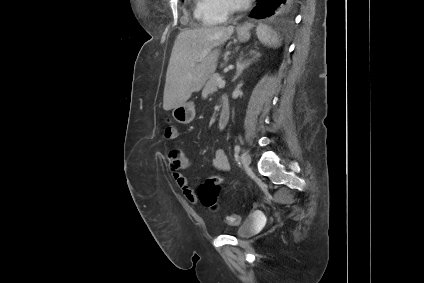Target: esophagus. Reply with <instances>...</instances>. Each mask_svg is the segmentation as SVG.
Listing matches in <instances>:
<instances>
[{
    "mask_svg": "<svg viewBox=\"0 0 424 283\" xmlns=\"http://www.w3.org/2000/svg\"><path fill=\"white\" fill-rule=\"evenodd\" d=\"M250 23L245 22L241 27L238 28V31H246L250 28Z\"/></svg>",
    "mask_w": 424,
    "mask_h": 283,
    "instance_id": "1",
    "label": "esophagus"
}]
</instances>
